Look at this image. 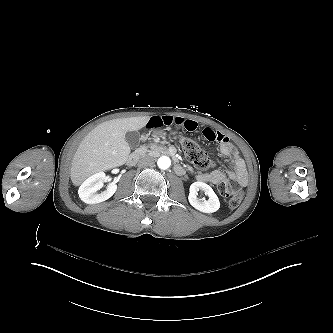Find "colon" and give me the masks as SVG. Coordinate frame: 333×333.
<instances>
[{
	"label": "colon",
	"mask_w": 333,
	"mask_h": 333,
	"mask_svg": "<svg viewBox=\"0 0 333 333\" xmlns=\"http://www.w3.org/2000/svg\"><path fill=\"white\" fill-rule=\"evenodd\" d=\"M181 148L187 158L200 170L206 171L211 167L209 156L195 140L190 138L182 139ZM219 193L227 200V203L231 208L239 206L243 199V191L231 183H221L219 185Z\"/></svg>",
	"instance_id": "obj_1"
}]
</instances>
